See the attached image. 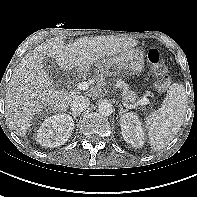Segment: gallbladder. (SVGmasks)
Returning <instances> with one entry per match:
<instances>
[{
	"label": "gallbladder",
	"instance_id": "1",
	"mask_svg": "<svg viewBox=\"0 0 197 197\" xmlns=\"http://www.w3.org/2000/svg\"><path fill=\"white\" fill-rule=\"evenodd\" d=\"M46 61L44 62V69L49 73L51 71H53L54 69L56 71H58L60 69V67H58V65L51 61V60H48V59H45Z\"/></svg>",
	"mask_w": 197,
	"mask_h": 197
}]
</instances>
